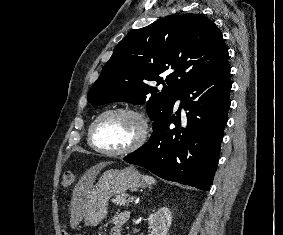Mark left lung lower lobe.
Returning a JSON list of instances; mask_svg holds the SVG:
<instances>
[{
  "mask_svg": "<svg viewBox=\"0 0 283 235\" xmlns=\"http://www.w3.org/2000/svg\"><path fill=\"white\" fill-rule=\"evenodd\" d=\"M231 91L228 61L186 83L177 99L182 103L153 131L149 141L124 157L157 176L209 190L217 168ZM181 107L188 110L181 122ZM176 127L170 129V125Z\"/></svg>",
  "mask_w": 283,
  "mask_h": 235,
  "instance_id": "left-lung-lower-lobe-1",
  "label": "left lung lower lobe"
}]
</instances>
